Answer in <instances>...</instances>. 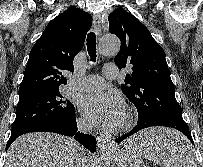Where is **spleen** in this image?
<instances>
[{
  "mask_svg": "<svg viewBox=\"0 0 203 167\" xmlns=\"http://www.w3.org/2000/svg\"><path fill=\"white\" fill-rule=\"evenodd\" d=\"M149 141L151 146L137 148L142 157L164 167H197L191 145L181 135L169 136L160 132Z\"/></svg>",
  "mask_w": 203,
  "mask_h": 167,
  "instance_id": "spleen-1",
  "label": "spleen"
}]
</instances>
